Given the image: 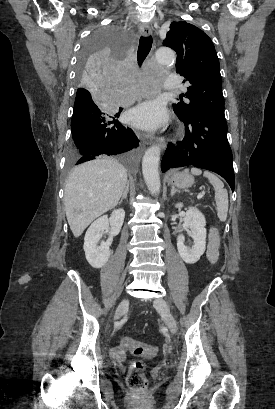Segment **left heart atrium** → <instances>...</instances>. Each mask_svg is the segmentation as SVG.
<instances>
[{
    "label": "left heart atrium",
    "instance_id": "left-heart-atrium-1",
    "mask_svg": "<svg viewBox=\"0 0 275 409\" xmlns=\"http://www.w3.org/2000/svg\"><path fill=\"white\" fill-rule=\"evenodd\" d=\"M129 122L141 129L153 131L164 127L168 122V116L158 102L146 101L129 112Z\"/></svg>",
    "mask_w": 275,
    "mask_h": 409
}]
</instances>
